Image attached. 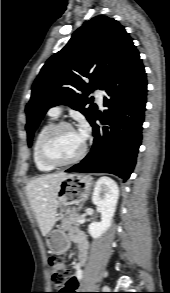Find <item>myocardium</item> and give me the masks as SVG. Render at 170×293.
I'll list each match as a JSON object with an SVG mask.
<instances>
[{
  "label": "myocardium",
  "instance_id": "myocardium-1",
  "mask_svg": "<svg viewBox=\"0 0 170 293\" xmlns=\"http://www.w3.org/2000/svg\"><path fill=\"white\" fill-rule=\"evenodd\" d=\"M62 128H69V129H74V127L65 121H60L57 122L55 124H53L41 137L40 143H39V148H38V154H39V158L41 159V161L49 166L52 167H61V166H66L72 163H75L77 161H79L86 153L87 151V144L86 141L83 140V147L81 149V151L75 155L74 157L68 159V160H64V161H59L56 159L51 158L48 153H47V145L48 142L50 141V139L52 138V136L60 129Z\"/></svg>",
  "mask_w": 170,
  "mask_h": 293
}]
</instances>
